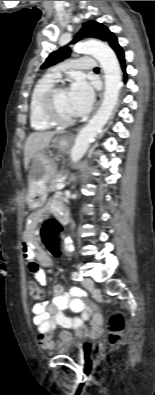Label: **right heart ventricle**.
I'll return each mask as SVG.
<instances>
[{"label": "right heart ventricle", "mask_w": 155, "mask_h": 395, "mask_svg": "<svg viewBox=\"0 0 155 395\" xmlns=\"http://www.w3.org/2000/svg\"><path fill=\"white\" fill-rule=\"evenodd\" d=\"M56 80L50 75L41 78L33 87L29 99V120L34 130L44 131L53 127L47 122L40 111V100L43 94L55 84Z\"/></svg>", "instance_id": "e07e8e85"}]
</instances>
